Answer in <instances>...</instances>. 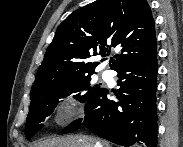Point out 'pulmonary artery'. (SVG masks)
<instances>
[{
	"instance_id": "pulmonary-artery-1",
	"label": "pulmonary artery",
	"mask_w": 183,
	"mask_h": 147,
	"mask_svg": "<svg viewBox=\"0 0 183 147\" xmlns=\"http://www.w3.org/2000/svg\"><path fill=\"white\" fill-rule=\"evenodd\" d=\"M102 77L105 78V79L108 78V77H109V72H107V71L104 72V73L102 74Z\"/></svg>"
}]
</instances>
